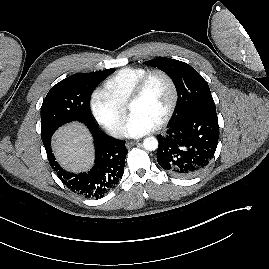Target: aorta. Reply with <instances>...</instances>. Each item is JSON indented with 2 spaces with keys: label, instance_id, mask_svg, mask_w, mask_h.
Here are the masks:
<instances>
[{
  "label": "aorta",
  "instance_id": "762f6f07",
  "mask_svg": "<svg viewBox=\"0 0 269 269\" xmlns=\"http://www.w3.org/2000/svg\"><path fill=\"white\" fill-rule=\"evenodd\" d=\"M143 146L148 151H154L158 147V140L155 137H147L144 139Z\"/></svg>",
  "mask_w": 269,
  "mask_h": 269
}]
</instances>
